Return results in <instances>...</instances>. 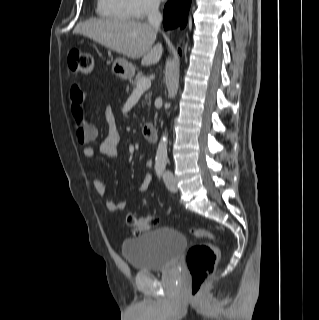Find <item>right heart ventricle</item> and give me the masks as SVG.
Returning <instances> with one entry per match:
<instances>
[{
	"mask_svg": "<svg viewBox=\"0 0 319 320\" xmlns=\"http://www.w3.org/2000/svg\"><path fill=\"white\" fill-rule=\"evenodd\" d=\"M99 16L115 21H130L132 15L127 0H97Z\"/></svg>",
	"mask_w": 319,
	"mask_h": 320,
	"instance_id": "obj_1",
	"label": "right heart ventricle"
}]
</instances>
